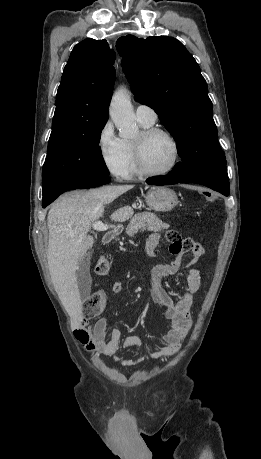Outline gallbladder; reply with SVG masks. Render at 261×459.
<instances>
[{
  "instance_id": "bac80fb5",
  "label": "gallbladder",
  "mask_w": 261,
  "mask_h": 459,
  "mask_svg": "<svg viewBox=\"0 0 261 459\" xmlns=\"http://www.w3.org/2000/svg\"><path fill=\"white\" fill-rule=\"evenodd\" d=\"M77 285L80 298L85 301L90 295L91 275H90V254L86 255L80 262L76 272Z\"/></svg>"
}]
</instances>
